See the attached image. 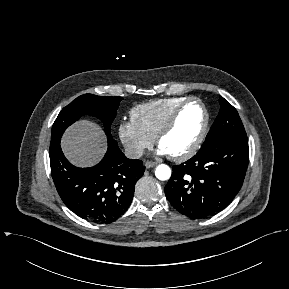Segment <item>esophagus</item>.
Here are the masks:
<instances>
[{"instance_id": "obj_1", "label": "esophagus", "mask_w": 289, "mask_h": 289, "mask_svg": "<svg viewBox=\"0 0 289 289\" xmlns=\"http://www.w3.org/2000/svg\"><path fill=\"white\" fill-rule=\"evenodd\" d=\"M144 164H145V167L148 168V169L157 165V163L153 162V161H145Z\"/></svg>"}]
</instances>
